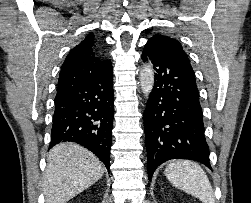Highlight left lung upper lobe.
I'll use <instances>...</instances> for the list:
<instances>
[{
  "mask_svg": "<svg viewBox=\"0 0 251 203\" xmlns=\"http://www.w3.org/2000/svg\"><path fill=\"white\" fill-rule=\"evenodd\" d=\"M148 42L163 46L171 52L181 56L185 61L190 63L187 54L184 52L181 44L176 39L160 34H155L148 40Z\"/></svg>",
  "mask_w": 251,
  "mask_h": 203,
  "instance_id": "5c2ea615",
  "label": "left lung upper lobe"
}]
</instances>
